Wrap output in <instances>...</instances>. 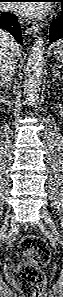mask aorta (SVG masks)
Masks as SVG:
<instances>
[{
	"label": "aorta",
	"instance_id": "obj_1",
	"mask_svg": "<svg viewBox=\"0 0 63 297\" xmlns=\"http://www.w3.org/2000/svg\"><path fill=\"white\" fill-rule=\"evenodd\" d=\"M44 40L37 37L31 47L25 68L24 95L28 102H35L40 94L44 69Z\"/></svg>",
	"mask_w": 63,
	"mask_h": 297
}]
</instances>
